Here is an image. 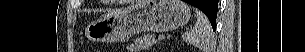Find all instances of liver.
<instances>
[{"label": "liver", "instance_id": "obj_1", "mask_svg": "<svg viewBox=\"0 0 305 52\" xmlns=\"http://www.w3.org/2000/svg\"><path fill=\"white\" fill-rule=\"evenodd\" d=\"M146 1H143L141 2L140 4H136V5H132L131 7L127 8V9H123V10H117V11H113L112 13H109L107 17L111 16V15H119L129 9H132V8H135V7H138L139 5H142L144 4Z\"/></svg>", "mask_w": 305, "mask_h": 52}]
</instances>
